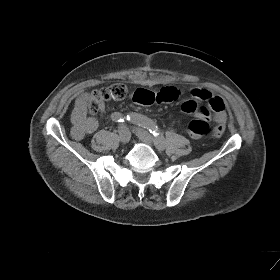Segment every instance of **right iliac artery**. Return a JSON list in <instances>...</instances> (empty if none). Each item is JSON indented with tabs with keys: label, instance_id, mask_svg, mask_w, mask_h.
Segmentation results:
<instances>
[{
	"label": "right iliac artery",
	"instance_id": "right-iliac-artery-1",
	"mask_svg": "<svg viewBox=\"0 0 280 280\" xmlns=\"http://www.w3.org/2000/svg\"><path fill=\"white\" fill-rule=\"evenodd\" d=\"M111 118L113 121L115 122H119V123H122L124 122V119L127 120V117H123L122 114H120L119 112H114L112 115H111Z\"/></svg>",
	"mask_w": 280,
	"mask_h": 280
}]
</instances>
